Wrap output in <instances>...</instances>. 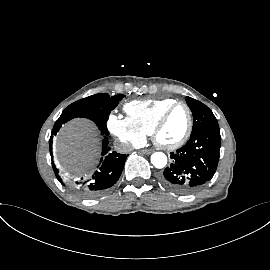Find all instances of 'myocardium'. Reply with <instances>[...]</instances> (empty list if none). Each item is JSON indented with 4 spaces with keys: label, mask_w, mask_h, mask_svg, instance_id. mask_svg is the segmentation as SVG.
Here are the masks:
<instances>
[{
    "label": "myocardium",
    "mask_w": 270,
    "mask_h": 270,
    "mask_svg": "<svg viewBox=\"0 0 270 270\" xmlns=\"http://www.w3.org/2000/svg\"><path fill=\"white\" fill-rule=\"evenodd\" d=\"M179 106H183L187 110V114H188L187 129H186L184 135L178 141H176L174 143H170V144L163 143L159 140V133H160L162 127L164 126V124L166 123L169 115L172 113V111L175 108H177ZM192 130H193V113H192L190 106L186 102L176 101L175 103L170 105L168 108H166L164 110V112L161 114V116L158 118V120L156 121V123L153 127L151 136H152L153 143L158 148H160L162 150H166V151H172V150H176V149L180 148L181 146H183L187 142V140L189 139V137L192 133Z\"/></svg>",
    "instance_id": "1"
}]
</instances>
